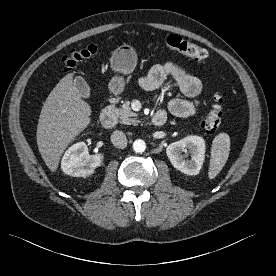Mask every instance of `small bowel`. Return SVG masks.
Segmentation results:
<instances>
[{"label":"small bowel","mask_w":276,"mask_h":276,"mask_svg":"<svg viewBox=\"0 0 276 276\" xmlns=\"http://www.w3.org/2000/svg\"><path fill=\"white\" fill-rule=\"evenodd\" d=\"M173 79L181 92L190 99L174 98L168 103V111L177 117H189L196 113L199 107L197 97L202 90L198 78L186 72L178 63L172 60L154 65L140 80V87L146 92L156 90L166 79Z\"/></svg>","instance_id":"small-bowel-1"}]
</instances>
